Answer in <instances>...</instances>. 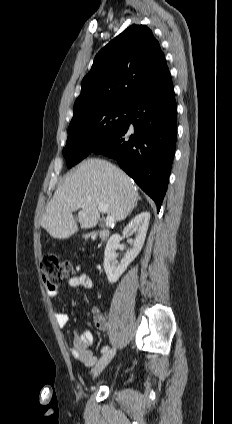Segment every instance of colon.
<instances>
[{
  "label": "colon",
  "mask_w": 232,
  "mask_h": 424,
  "mask_svg": "<svg viewBox=\"0 0 232 424\" xmlns=\"http://www.w3.org/2000/svg\"><path fill=\"white\" fill-rule=\"evenodd\" d=\"M42 278L48 289H55L68 278L73 271L72 263L55 253H46L40 262Z\"/></svg>",
  "instance_id": "obj_1"
}]
</instances>
